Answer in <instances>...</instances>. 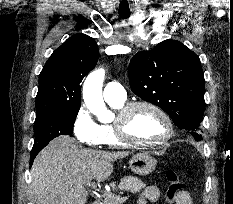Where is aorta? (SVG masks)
<instances>
[{
    "label": "aorta",
    "mask_w": 233,
    "mask_h": 204,
    "mask_svg": "<svg viewBox=\"0 0 233 204\" xmlns=\"http://www.w3.org/2000/svg\"><path fill=\"white\" fill-rule=\"evenodd\" d=\"M105 77L103 68L92 71L83 84V99L89 111L95 115L100 122L106 123L112 120L113 114L104 103L102 86Z\"/></svg>",
    "instance_id": "1"
}]
</instances>
